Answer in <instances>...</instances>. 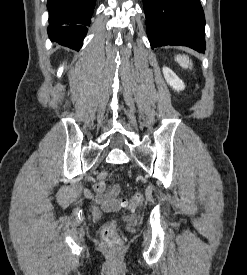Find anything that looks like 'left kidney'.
<instances>
[{
    "label": "left kidney",
    "mask_w": 247,
    "mask_h": 275,
    "mask_svg": "<svg viewBox=\"0 0 247 275\" xmlns=\"http://www.w3.org/2000/svg\"><path fill=\"white\" fill-rule=\"evenodd\" d=\"M166 82L176 91H181L185 88L183 81L168 67L162 69Z\"/></svg>",
    "instance_id": "5707ae66"
}]
</instances>
